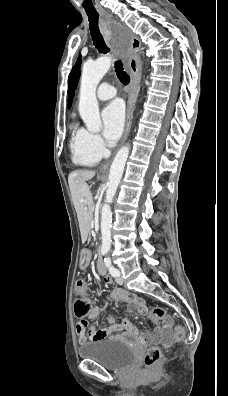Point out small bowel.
I'll use <instances>...</instances> for the list:
<instances>
[{
  "label": "small bowel",
  "instance_id": "obj_1",
  "mask_svg": "<svg viewBox=\"0 0 228 396\" xmlns=\"http://www.w3.org/2000/svg\"><path fill=\"white\" fill-rule=\"evenodd\" d=\"M90 262V254L88 251H84L81 256V267L86 268ZM104 281L107 285L112 284V279L109 276L104 277ZM109 299L112 301H123L127 304L128 309L131 311H137L141 314L147 313V307L144 302L136 295L121 289L116 288L109 294ZM101 313V308L95 307L89 313V318H95ZM109 325L97 329L95 326L86 328L77 327V335L79 344H85L87 342H96L105 339H134L138 337V332L133 324L128 319H123L120 324H114L113 319L109 317ZM170 321H166L165 325L156 327L151 333L143 334L139 336V339L144 343H160L164 341L165 345L168 344V329Z\"/></svg>",
  "mask_w": 228,
  "mask_h": 396
}]
</instances>
